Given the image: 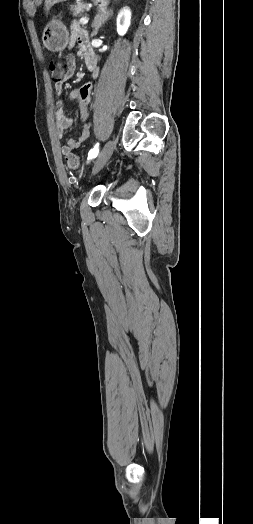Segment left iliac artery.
<instances>
[{
    "label": "left iliac artery",
    "mask_w": 253,
    "mask_h": 524,
    "mask_svg": "<svg viewBox=\"0 0 253 524\" xmlns=\"http://www.w3.org/2000/svg\"><path fill=\"white\" fill-rule=\"evenodd\" d=\"M99 153V143H96L93 149L89 151L88 158L92 159L95 158Z\"/></svg>",
    "instance_id": "obj_1"
}]
</instances>
